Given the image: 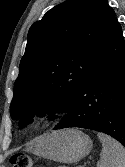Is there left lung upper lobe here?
<instances>
[{"mask_svg":"<svg viewBox=\"0 0 125 167\" xmlns=\"http://www.w3.org/2000/svg\"><path fill=\"white\" fill-rule=\"evenodd\" d=\"M115 15L107 0H66L30 27L10 105L19 125L65 112Z\"/></svg>","mask_w":125,"mask_h":167,"instance_id":"left-lung-upper-lobe-1","label":"left lung upper lobe"}]
</instances>
